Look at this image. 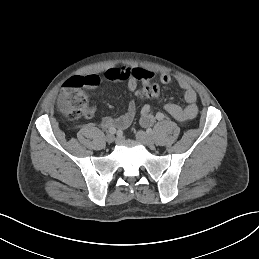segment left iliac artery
I'll return each mask as SVG.
<instances>
[{"instance_id": "left-iliac-artery-1", "label": "left iliac artery", "mask_w": 259, "mask_h": 259, "mask_svg": "<svg viewBox=\"0 0 259 259\" xmlns=\"http://www.w3.org/2000/svg\"><path fill=\"white\" fill-rule=\"evenodd\" d=\"M165 118V115L161 112H158L156 114V119L159 120V121H162L163 119Z\"/></svg>"}]
</instances>
